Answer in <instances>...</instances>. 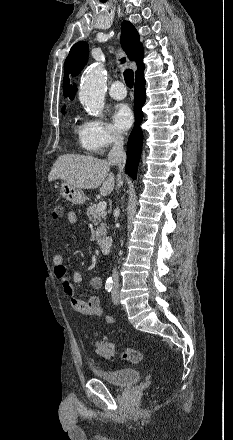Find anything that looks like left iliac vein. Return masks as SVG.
<instances>
[{"mask_svg":"<svg viewBox=\"0 0 233 440\" xmlns=\"http://www.w3.org/2000/svg\"><path fill=\"white\" fill-rule=\"evenodd\" d=\"M111 297H112V301H113L114 304H119L120 297H119V287H118V285L114 286V288L112 290V293H111Z\"/></svg>","mask_w":233,"mask_h":440,"instance_id":"left-iliac-vein-1","label":"left iliac vein"}]
</instances>
